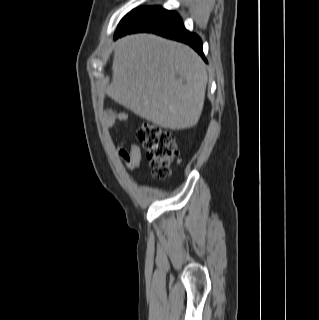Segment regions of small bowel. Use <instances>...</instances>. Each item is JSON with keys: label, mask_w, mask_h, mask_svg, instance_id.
<instances>
[{"label": "small bowel", "mask_w": 319, "mask_h": 320, "mask_svg": "<svg viewBox=\"0 0 319 320\" xmlns=\"http://www.w3.org/2000/svg\"><path fill=\"white\" fill-rule=\"evenodd\" d=\"M128 116L125 113L108 114L105 118V128L111 131L117 122L127 121ZM118 158L124 163L129 171H137L141 168L142 155L138 144L134 141H129L128 146L122 147L117 152Z\"/></svg>", "instance_id": "small-bowel-1"}]
</instances>
